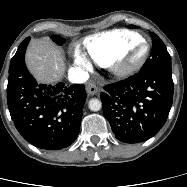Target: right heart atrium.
I'll return each mask as SVG.
<instances>
[{
	"mask_svg": "<svg viewBox=\"0 0 187 187\" xmlns=\"http://www.w3.org/2000/svg\"><path fill=\"white\" fill-rule=\"evenodd\" d=\"M75 63L81 67L82 69L88 70L90 69L91 65L88 61L87 57L78 49L75 50Z\"/></svg>",
	"mask_w": 187,
	"mask_h": 187,
	"instance_id": "obj_1",
	"label": "right heart atrium"
}]
</instances>
